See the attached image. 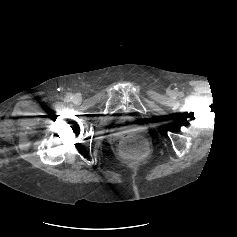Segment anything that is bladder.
Returning a JSON list of instances; mask_svg holds the SVG:
<instances>
[{
    "label": "bladder",
    "instance_id": "31cf9c89",
    "mask_svg": "<svg viewBox=\"0 0 237 237\" xmlns=\"http://www.w3.org/2000/svg\"><path fill=\"white\" fill-rule=\"evenodd\" d=\"M121 121H122L124 124H130V123H131L127 118H122Z\"/></svg>",
    "mask_w": 237,
    "mask_h": 237
}]
</instances>
